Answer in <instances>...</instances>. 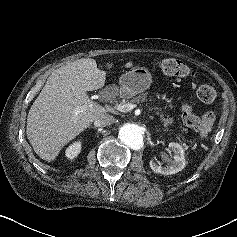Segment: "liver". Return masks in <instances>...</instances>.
Returning <instances> with one entry per match:
<instances>
[{"label":"liver","instance_id":"1","mask_svg":"<svg viewBox=\"0 0 237 237\" xmlns=\"http://www.w3.org/2000/svg\"><path fill=\"white\" fill-rule=\"evenodd\" d=\"M112 68L113 63H107ZM106 72L94 59H79L54 70L31 106L26 135L36 154L53 161L71 140L88 128L106 109L87 91L105 85Z\"/></svg>","mask_w":237,"mask_h":237}]
</instances>
